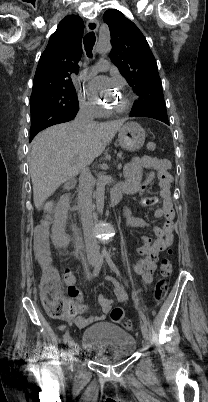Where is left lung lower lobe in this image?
Wrapping results in <instances>:
<instances>
[{
  "instance_id": "0a47b994",
  "label": "left lung lower lobe",
  "mask_w": 208,
  "mask_h": 402,
  "mask_svg": "<svg viewBox=\"0 0 208 402\" xmlns=\"http://www.w3.org/2000/svg\"><path fill=\"white\" fill-rule=\"evenodd\" d=\"M130 117H139V116H137L136 114H130ZM163 122L166 124H169L168 121H163Z\"/></svg>"
}]
</instances>
